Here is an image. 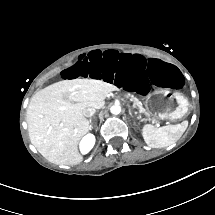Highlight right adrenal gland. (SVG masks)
Instances as JSON below:
<instances>
[{"label":"right adrenal gland","instance_id":"2a0ac1e0","mask_svg":"<svg viewBox=\"0 0 215 215\" xmlns=\"http://www.w3.org/2000/svg\"><path fill=\"white\" fill-rule=\"evenodd\" d=\"M89 130H91L92 129V124H91V119L89 120Z\"/></svg>","mask_w":215,"mask_h":215}]
</instances>
